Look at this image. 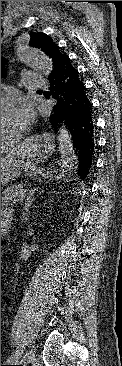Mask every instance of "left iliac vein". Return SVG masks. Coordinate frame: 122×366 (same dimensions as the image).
Returning a JSON list of instances; mask_svg holds the SVG:
<instances>
[{"instance_id": "obj_1", "label": "left iliac vein", "mask_w": 122, "mask_h": 366, "mask_svg": "<svg viewBox=\"0 0 122 366\" xmlns=\"http://www.w3.org/2000/svg\"><path fill=\"white\" fill-rule=\"evenodd\" d=\"M34 352H35V349L32 346L30 348V350L26 353V355L23 357L24 364H28V363H30L32 361V359L34 357ZM22 353H23V346L20 345L19 347H17L16 352L14 353V355L11 358L13 360H18V359L21 358Z\"/></svg>"}]
</instances>
